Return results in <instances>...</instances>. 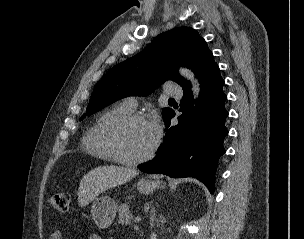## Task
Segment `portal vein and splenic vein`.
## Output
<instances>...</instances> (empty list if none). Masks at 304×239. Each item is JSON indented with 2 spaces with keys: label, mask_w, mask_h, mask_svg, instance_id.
I'll return each instance as SVG.
<instances>
[{
  "label": "portal vein and splenic vein",
  "mask_w": 304,
  "mask_h": 239,
  "mask_svg": "<svg viewBox=\"0 0 304 239\" xmlns=\"http://www.w3.org/2000/svg\"><path fill=\"white\" fill-rule=\"evenodd\" d=\"M141 221V217L140 216H137L135 219H134V222L137 223V222H140Z\"/></svg>",
  "instance_id": "obj_1"
}]
</instances>
